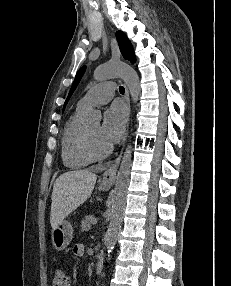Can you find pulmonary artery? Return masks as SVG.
Returning <instances> with one entry per match:
<instances>
[{"mask_svg":"<svg viewBox=\"0 0 231 286\" xmlns=\"http://www.w3.org/2000/svg\"><path fill=\"white\" fill-rule=\"evenodd\" d=\"M115 92V85L111 81L99 83L92 87L78 102V107L86 109L93 105H102L109 102Z\"/></svg>","mask_w":231,"mask_h":286,"instance_id":"obj_1","label":"pulmonary artery"}]
</instances>
